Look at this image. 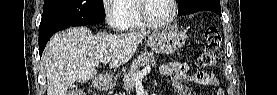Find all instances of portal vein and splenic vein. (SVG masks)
I'll return each instance as SVG.
<instances>
[{"instance_id":"obj_1","label":"portal vein and splenic vein","mask_w":277,"mask_h":95,"mask_svg":"<svg viewBox=\"0 0 277 95\" xmlns=\"http://www.w3.org/2000/svg\"><path fill=\"white\" fill-rule=\"evenodd\" d=\"M110 59H111L110 57H106V58H104V59L102 60V62H103V63H108V62L110 61ZM150 71H151V67H150V66H146L143 70H141V72L134 73V74H133V79H134L135 81L142 80V78H143L146 74L150 73Z\"/></svg>"}]
</instances>
